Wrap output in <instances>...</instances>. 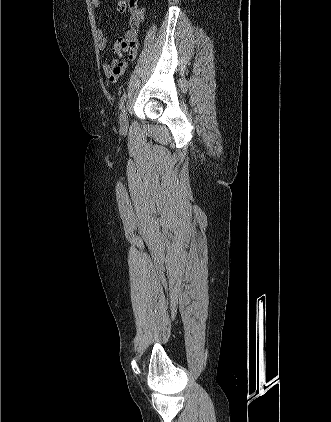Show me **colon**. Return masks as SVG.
I'll use <instances>...</instances> for the list:
<instances>
[{
    "instance_id": "colon-1",
    "label": "colon",
    "mask_w": 331,
    "mask_h": 422,
    "mask_svg": "<svg viewBox=\"0 0 331 422\" xmlns=\"http://www.w3.org/2000/svg\"><path fill=\"white\" fill-rule=\"evenodd\" d=\"M120 11L129 14L131 22H137L142 18V13L137 7V0H116Z\"/></svg>"
}]
</instances>
